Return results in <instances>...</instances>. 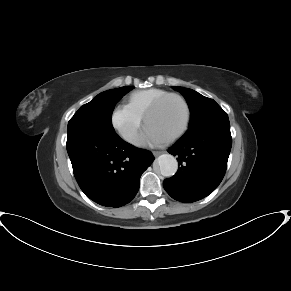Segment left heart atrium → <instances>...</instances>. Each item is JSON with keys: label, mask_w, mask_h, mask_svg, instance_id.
I'll use <instances>...</instances> for the list:
<instances>
[{"label": "left heart atrium", "mask_w": 291, "mask_h": 291, "mask_svg": "<svg viewBox=\"0 0 291 291\" xmlns=\"http://www.w3.org/2000/svg\"><path fill=\"white\" fill-rule=\"evenodd\" d=\"M166 138L155 131L152 127L146 126L138 135L137 142L141 145H153L164 142Z\"/></svg>", "instance_id": "left-heart-atrium-1"}]
</instances>
